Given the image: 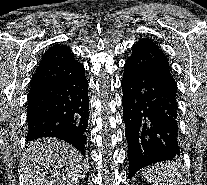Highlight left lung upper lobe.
<instances>
[{"mask_svg":"<svg viewBox=\"0 0 207 185\" xmlns=\"http://www.w3.org/2000/svg\"><path fill=\"white\" fill-rule=\"evenodd\" d=\"M126 65L130 69L143 71L156 76L177 90V85L171 75L166 56L156 43L148 39H140L134 44L132 54L127 60Z\"/></svg>","mask_w":207,"mask_h":185,"instance_id":"1","label":"left lung upper lobe"}]
</instances>
